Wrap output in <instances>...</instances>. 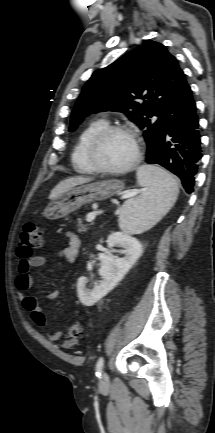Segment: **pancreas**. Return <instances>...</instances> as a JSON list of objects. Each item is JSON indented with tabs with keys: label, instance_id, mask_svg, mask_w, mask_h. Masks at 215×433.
<instances>
[{
	"label": "pancreas",
	"instance_id": "cf45deb5",
	"mask_svg": "<svg viewBox=\"0 0 215 433\" xmlns=\"http://www.w3.org/2000/svg\"><path fill=\"white\" fill-rule=\"evenodd\" d=\"M89 226H90L89 224H83L82 219L78 220L77 228L79 232L87 231L90 228Z\"/></svg>",
	"mask_w": 215,
	"mask_h": 433
}]
</instances>
